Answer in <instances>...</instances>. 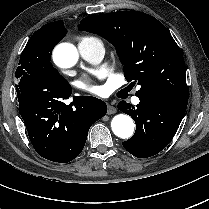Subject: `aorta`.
Masks as SVG:
<instances>
[{
  "label": "aorta",
  "mask_w": 209,
  "mask_h": 209,
  "mask_svg": "<svg viewBox=\"0 0 209 209\" xmlns=\"http://www.w3.org/2000/svg\"><path fill=\"white\" fill-rule=\"evenodd\" d=\"M53 59L56 65L61 68L72 67L78 61L77 49L70 43H61L54 49ZM111 128L116 136L127 139L133 135L135 124L130 116L118 114L113 117Z\"/></svg>",
  "instance_id": "762f6f07"
}]
</instances>
